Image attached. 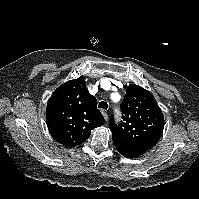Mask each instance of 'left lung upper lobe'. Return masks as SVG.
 <instances>
[{
    "label": "left lung upper lobe",
    "instance_id": "1",
    "mask_svg": "<svg viewBox=\"0 0 199 199\" xmlns=\"http://www.w3.org/2000/svg\"><path fill=\"white\" fill-rule=\"evenodd\" d=\"M122 121L118 125L110 118L112 140L125 157L137 158L151 149L160 139L164 116L153 95L131 84L121 103Z\"/></svg>",
    "mask_w": 199,
    "mask_h": 199
}]
</instances>
